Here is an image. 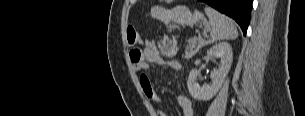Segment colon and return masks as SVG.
Returning <instances> with one entry per match:
<instances>
[{"instance_id": "1", "label": "colon", "mask_w": 305, "mask_h": 116, "mask_svg": "<svg viewBox=\"0 0 305 116\" xmlns=\"http://www.w3.org/2000/svg\"><path fill=\"white\" fill-rule=\"evenodd\" d=\"M148 40L144 39L138 30L134 26H129L127 28V43L129 46H134L137 43H143L145 44ZM132 51H136V49H133ZM145 76V75H142Z\"/></svg>"}]
</instances>
